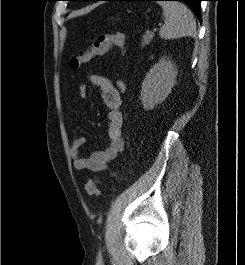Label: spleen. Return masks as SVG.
I'll return each mask as SVG.
<instances>
[{
	"label": "spleen",
	"mask_w": 245,
	"mask_h": 265,
	"mask_svg": "<svg viewBox=\"0 0 245 265\" xmlns=\"http://www.w3.org/2000/svg\"><path fill=\"white\" fill-rule=\"evenodd\" d=\"M163 9L165 24L160 28L159 35L162 39H177L194 36L196 22L193 13L181 2L159 1Z\"/></svg>",
	"instance_id": "obj_1"
}]
</instances>
